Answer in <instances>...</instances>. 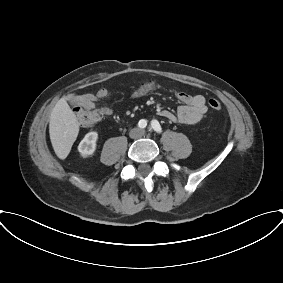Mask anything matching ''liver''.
Segmentation results:
<instances>
[{"instance_id": "1", "label": "liver", "mask_w": 283, "mask_h": 283, "mask_svg": "<svg viewBox=\"0 0 283 283\" xmlns=\"http://www.w3.org/2000/svg\"><path fill=\"white\" fill-rule=\"evenodd\" d=\"M79 133L76 115L64 98L60 99L50 114L49 134L53 149L60 159H65Z\"/></svg>"}]
</instances>
